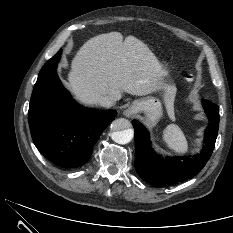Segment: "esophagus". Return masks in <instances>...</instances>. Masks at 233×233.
Returning a JSON list of instances; mask_svg holds the SVG:
<instances>
[{
    "instance_id": "esophagus-1",
    "label": "esophagus",
    "mask_w": 233,
    "mask_h": 233,
    "mask_svg": "<svg viewBox=\"0 0 233 233\" xmlns=\"http://www.w3.org/2000/svg\"><path fill=\"white\" fill-rule=\"evenodd\" d=\"M131 114H132L131 111H128V110L126 111V115H127V116H129V115H131Z\"/></svg>"
}]
</instances>
